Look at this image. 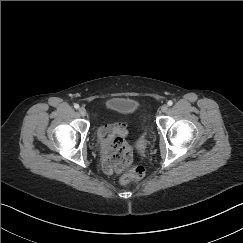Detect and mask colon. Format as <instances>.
I'll list each match as a JSON object with an SVG mask.
<instances>
[{"instance_id": "1", "label": "colon", "mask_w": 243, "mask_h": 243, "mask_svg": "<svg viewBox=\"0 0 243 243\" xmlns=\"http://www.w3.org/2000/svg\"><path fill=\"white\" fill-rule=\"evenodd\" d=\"M123 167L125 169V174L120 180L121 183H123V184L129 183V182L135 181V180H140L145 175V171L142 167L132 166V165H130V163L128 161H126L124 163Z\"/></svg>"}]
</instances>
